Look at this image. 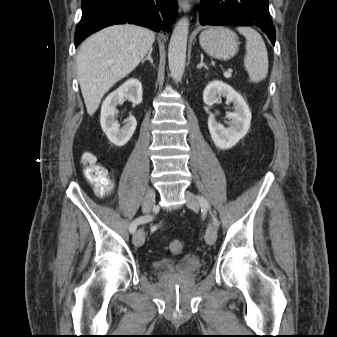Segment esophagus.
I'll return each mask as SVG.
<instances>
[{
  "instance_id": "esophagus-1",
  "label": "esophagus",
  "mask_w": 337,
  "mask_h": 337,
  "mask_svg": "<svg viewBox=\"0 0 337 337\" xmlns=\"http://www.w3.org/2000/svg\"><path fill=\"white\" fill-rule=\"evenodd\" d=\"M178 5L184 12H188L191 9V4L187 0H178Z\"/></svg>"
}]
</instances>
